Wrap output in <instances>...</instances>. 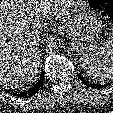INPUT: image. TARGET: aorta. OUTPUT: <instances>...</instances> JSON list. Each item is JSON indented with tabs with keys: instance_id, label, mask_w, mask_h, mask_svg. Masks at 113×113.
I'll return each instance as SVG.
<instances>
[{
	"instance_id": "762f6f07",
	"label": "aorta",
	"mask_w": 113,
	"mask_h": 113,
	"mask_svg": "<svg viewBox=\"0 0 113 113\" xmlns=\"http://www.w3.org/2000/svg\"><path fill=\"white\" fill-rule=\"evenodd\" d=\"M61 47V40L58 37L49 36L45 39L44 49L47 53H56Z\"/></svg>"
}]
</instances>
